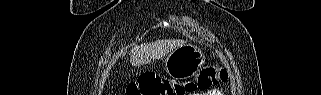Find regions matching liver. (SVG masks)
I'll list each match as a JSON object with an SVG mask.
<instances>
[{
    "label": "liver",
    "mask_w": 321,
    "mask_h": 95,
    "mask_svg": "<svg viewBox=\"0 0 321 95\" xmlns=\"http://www.w3.org/2000/svg\"><path fill=\"white\" fill-rule=\"evenodd\" d=\"M186 42L180 39L157 40L152 43L136 45L130 51V63L133 66H141L156 59H160L171 51L183 46ZM125 52H120L119 56H124Z\"/></svg>",
    "instance_id": "1"
}]
</instances>
